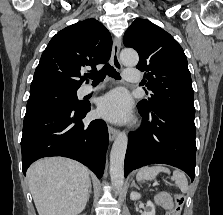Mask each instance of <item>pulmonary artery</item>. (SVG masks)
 Listing matches in <instances>:
<instances>
[{"label":"pulmonary artery","mask_w":223,"mask_h":215,"mask_svg":"<svg viewBox=\"0 0 223 215\" xmlns=\"http://www.w3.org/2000/svg\"><path fill=\"white\" fill-rule=\"evenodd\" d=\"M122 74H124V78H127V83H136L138 82V78H142V69H122ZM100 88L101 86H87L85 88V93L88 94Z\"/></svg>","instance_id":"obj_1"}]
</instances>
